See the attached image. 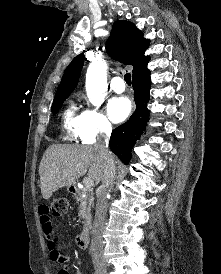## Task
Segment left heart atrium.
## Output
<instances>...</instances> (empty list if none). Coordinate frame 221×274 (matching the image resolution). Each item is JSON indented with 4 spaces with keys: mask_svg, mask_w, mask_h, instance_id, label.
I'll use <instances>...</instances> for the list:
<instances>
[{
    "mask_svg": "<svg viewBox=\"0 0 221 274\" xmlns=\"http://www.w3.org/2000/svg\"><path fill=\"white\" fill-rule=\"evenodd\" d=\"M131 108V101L127 97H113L108 101L107 114L112 122L120 123L129 116Z\"/></svg>",
    "mask_w": 221,
    "mask_h": 274,
    "instance_id": "39dd6f15",
    "label": "left heart atrium"
}]
</instances>
